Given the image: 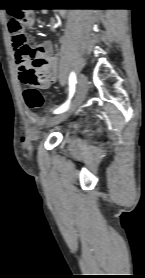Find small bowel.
I'll list each match as a JSON object with an SVG mask.
<instances>
[{
    "instance_id": "1",
    "label": "small bowel",
    "mask_w": 145,
    "mask_h": 278,
    "mask_svg": "<svg viewBox=\"0 0 145 278\" xmlns=\"http://www.w3.org/2000/svg\"><path fill=\"white\" fill-rule=\"evenodd\" d=\"M33 22L34 20L32 18L31 24H33ZM11 40L16 67L19 71L21 79L23 74L33 66L34 62H36L39 66V69L43 73L42 88L49 89L52 87V85L57 81L58 77L57 60L52 55V43L50 41H45L34 47L29 46L33 52V55H26L25 53H19L18 50L22 49V47H18L14 43L12 37ZM33 56H35L37 59H33ZM29 119L31 122L37 121V118L32 113L29 114Z\"/></svg>"
}]
</instances>
